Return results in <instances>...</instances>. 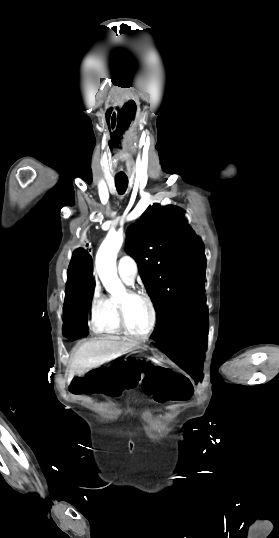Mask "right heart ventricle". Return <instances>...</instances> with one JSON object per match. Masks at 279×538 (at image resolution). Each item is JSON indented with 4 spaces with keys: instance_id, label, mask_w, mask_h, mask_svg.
<instances>
[{
    "instance_id": "1",
    "label": "right heart ventricle",
    "mask_w": 279,
    "mask_h": 538,
    "mask_svg": "<svg viewBox=\"0 0 279 538\" xmlns=\"http://www.w3.org/2000/svg\"><path fill=\"white\" fill-rule=\"evenodd\" d=\"M109 235L116 237L120 243V241H122L123 231L112 229L108 236ZM120 278L124 283H127L123 277L120 276ZM117 301L118 296L108 295L102 297L101 314L98 318L93 316L92 320V326L97 332L110 334L124 333L118 321Z\"/></svg>"
}]
</instances>
